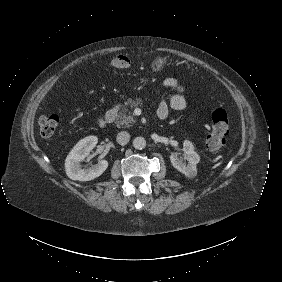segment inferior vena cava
Masks as SVG:
<instances>
[{
    "label": "inferior vena cava",
    "instance_id": "1",
    "mask_svg": "<svg viewBox=\"0 0 282 282\" xmlns=\"http://www.w3.org/2000/svg\"><path fill=\"white\" fill-rule=\"evenodd\" d=\"M130 140V134L126 131H121L117 134V142L120 145H126Z\"/></svg>",
    "mask_w": 282,
    "mask_h": 282
}]
</instances>
